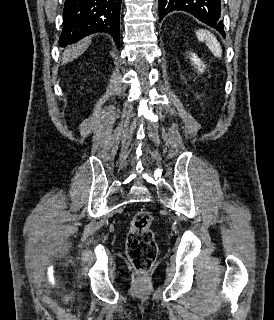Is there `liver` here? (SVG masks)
Wrapping results in <instances>:
<instances>
[{"instance_id": "liver-1", "label": "liver", "mask_w": 274, "mask_h": 320, "mask_svg": "<svg viewBox=\"0 0 274 320\" xmlns=\"http://www.w3.org/2000/svg\"><path fill=\"white\" fill-rule=\"evenodd\" d=\"M91 42L92 40L90 36H88V38H84V40H81L78 44H73V46L65 48L62 54V64H68V62H72V60H76L78 56L84 54L85 50L89 48Z\"/></svg>"}]
</instances>
